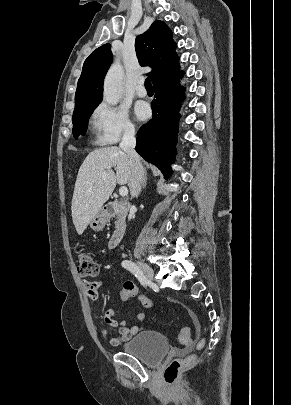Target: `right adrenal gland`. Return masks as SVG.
Returning a JSON list of instances; mask_svg holds the SVG:
<instances>
[{"label": "right adrenal gland", "instance_id": "2a0ac1e0", "mask_svg": "<svg viewBox=\"0 0 291 405\" xmlns=\"http://www.w3.org/2000/svg\"><path fill=\"white\" fill-rule=\"evenodd\" d=\"M146 184H147V172L145 171V176H144V180H143V184H142L143 189L146 187Z\"/></svg>", "mask_w": 291, "mask_h": 405}]
</instances>
